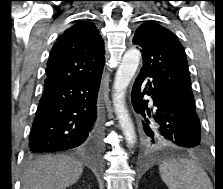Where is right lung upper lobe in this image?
Here are the masks:
<instances>
[{
    "label": "right lung upper lobe",
    "mask_w": 223,
    "mask_h": 189,
    "mask_svg": "<svg viewBox=\"0 0 223 189\" xmlns=\"http://www.w3.org/2000/svg\"><path fill=\"white\" fill-rule=\"evenodd\" d=\"M104 53L95 25L86 21L75 24L55 42L47 63L45 83L85 79L102 73Z\"/></svg>",
    "instance_id": "cb5924a9"
}]
</instances>
